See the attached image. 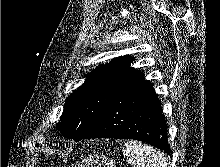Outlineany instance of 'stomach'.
Masks as SVG:
<instances>
[{"mask_svg":"<svg viewBox=\"0 0 220 167\" xmlns=\"http://www.w3.org/2000/svg\"><path fill=\"white\" fill-rule=\"evenodd\" d=\"M113 159L104 155L94 154L90 155L77 164H72L68 167H116Z\"/></svg>","mask_w":220,"mask_h":167,"instance_id":"1","label":"stomach"}]
</instances>
